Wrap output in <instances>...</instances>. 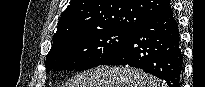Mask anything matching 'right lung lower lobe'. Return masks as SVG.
Here are the masks:
<instances>
[{"label":"right lung lower lobe","mask_w":205,"mask_h":87,"mask_svg":"<svg viewBox=\"0 0 205 87\" xmlns=\"http://www.w3.org/2000/svg\"><path fill=\"white\" fill-rule=\"evenodd\" d=\"M100 65L140 68L169 87H181L183 54L171 7L140 24L122 47Z\"/></svg>","instance_id":"98d812e1"}]
</instances>
